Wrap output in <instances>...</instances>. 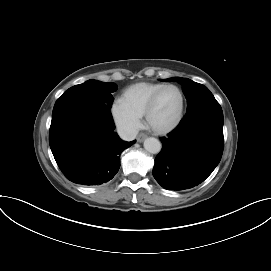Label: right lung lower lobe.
<instances>
[{"label":"right lung lower lobe","mask_w":271,"mask_h":271,"mask_svg":"<svg viewBox=\"0 0 271 271\" xmlns=\"http://www.w3.org/2000/svg\"><path fill=\"white\" fill-rule=\"evenodd\" d=\"M110 106L83 102L54 109L49 144L55 161L72 182L100 185L120 168V154L136 141L125 142L113 131Z\"/></svg>","instance_id":"obj_1"}]
</instances>
